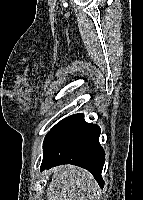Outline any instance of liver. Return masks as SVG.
Listing matches in <instances>:
<instances>
[{"label":"liver","instance_id":"obj_1","mask_svg":"<svg viewBox=\"0 0 143 200\" xmlns=\"http://www.w3.org/2000/svg\"><path fill=\"white\" fill-rule=\"evenodd\" d=\"M98 186L85 169L73 165L54 168L46 191L48 200H95Z\"/></svg>","mask_w":143,"mask_h":200}]
</instances>
